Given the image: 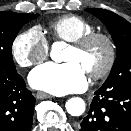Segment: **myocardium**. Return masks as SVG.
Masks as SVG:
<instances>
[{
	"mask_svg": "<svg viewBox=\"0 0 131 131\" xmlns=\"http://www.w3.org/2000/svg\"><path fill=\"white\" fill-rule=\"evenodd\" d=\"M96 41H102L107 49V57L103 66L93 72L88 73L93 80L106 78L112 71L117 59V46L114 38L102 31H92L81 36L76 41L71 42L70 47L77 51H84Z\"/></svg>",
	"mask_w": 131,
	"mask_h": 131,
	"instance_id": "1",
	"label": "myocardium"
}]
</instances>
